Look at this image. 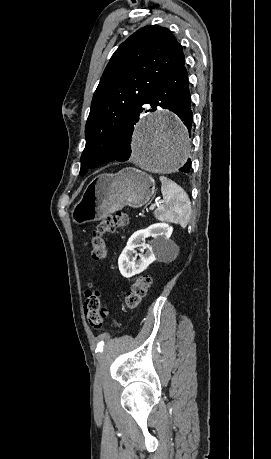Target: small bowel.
I'll return each mask as SVG.
<instances>
[{"instance_id":"small-bowel-1","label":"small bowel","mask_w":271,"mask_h":459,"mask_svg":"<svg viewBox=\"0 0 271 459\" xmlns=\"http://www.w3.org/2000/svg\"><path fill=\"white\" fill-rule=\"evenodd\" d=\"M94 290L92 289V284H89V289L85 291V298H88L89 295L93 292Z\"/></svg>"}]
</instances>
